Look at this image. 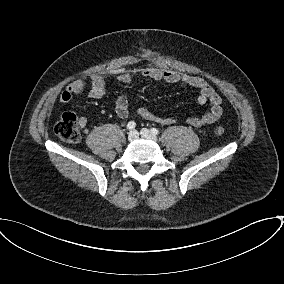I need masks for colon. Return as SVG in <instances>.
I'll list each match as a JSON object with an SVG mask.
<instances>
[{"label":"colon","instance_id":"obj_1","mask_svg":"<svg viewBox=\"0 0 284 284\" xmlns=\"http://www.w3.org/2000/svg\"><path fill=\"white\" fill-rule=\"evenodd\" d=\"M55 134L68 143H77L81 138L79 129V120L72 113H63L54 126ZM225 132L222 126L215 127L217 135H223Z\"/></svg>","mask_w":284,"mask_h":284}]
</instances>
